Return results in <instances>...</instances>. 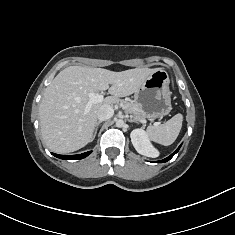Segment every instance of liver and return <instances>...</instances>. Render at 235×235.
<instances>
[{"label":"liver","instance_id":"1","mask_svg":"<svg viewBox=\"0 0 235 235\" xmlns=\"http://www.w3.org/2000/svg\"><path fill=\"white\" fill-rule=\"evenodd\" d=\"M162 68H134L114 72L103 68L69 66L45 89L39 106L40 126L47 147L57 153L79 150L91 141L98 110L135 93L142 83ZM111 85V87H109ZM108 90L100 103L89 102L88 93Z\"/></svg>","mask_w":235,"mask_h":235}]
</instances>
